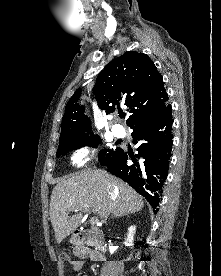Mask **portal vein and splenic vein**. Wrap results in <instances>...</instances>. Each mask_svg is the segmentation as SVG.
<instances>
[{
  "mask_svg": "<svg viewBox=\"0 0 221 276\" xmlns=\"http://www.w3.org/2000/svg\"><path fill=\"white\" fill-rule=\"evenodd\" d=\"M72 212L73 211H81V210H78V209H75V210H71ZM84 211H86V212H89L90 213V211L88 210V209H86V210H84ZM90 222H91V224H93V225H99L100 224V222H99V219L98 218H95V217H93L91 220H90Z\"/></svg>",
  "mask_w": 221,
  "mask_h": 276,
  "instance_id": "18ae733b",
  "label": "portal vein and splenic vein"
}]
</instances>
